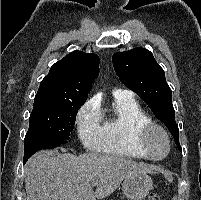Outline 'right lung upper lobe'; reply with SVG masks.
<instances>
[{
    "instance_id": "right-lung-upper-lobe-1",
    "label": "right lung upper lobe",
    "mask_w": 201,
    "mask_h": 200,
    "mask_svg": "<svg viewBox=\"0 0 201 200\" xmlns=\"http://www.w3.org/2000/svg\"><path fill=\"white\" fill-rule=\"evenodd\" d=\"M99 74V57L73 51L56 62L41 81L36 95L59 99H87L90 85Z\"/></svg>"
}]
</instances>
